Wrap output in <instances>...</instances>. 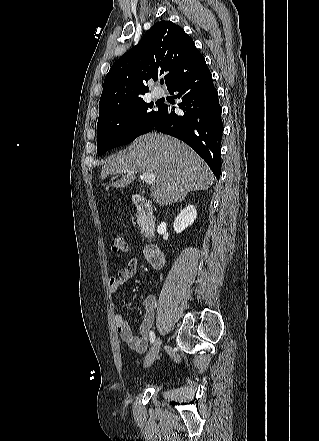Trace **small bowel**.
I'll return each mask as SVG.
<instances>
[{
    "instance_id": "obj_1",
    "label": "small bowel",
    "mask_w": 319,
    "mask_h": 441,
    "mask_svg": "<svg viewBox=\"0 0 319 441\" xmlns=\"http://www.w3.org/2000/svg\"><path fill=\"white\" fill-rule=\"evenodd\" d=\"M138 268V260L132 258L127 265L121 268L115 276L109 280V292L113 299L114 307L117 308V299L121 287L130 280L136 273ZM157 298L154 294H150L143 299V318L140 325V335H134L129 323L124 320L122 315L116 314L114 317L117 332L122 341L137 353H144L148 347V335L150 338L151 326L154 322L155 307Z\"/></svg>"
}]
</instances>
